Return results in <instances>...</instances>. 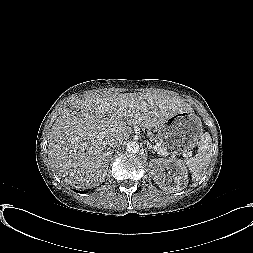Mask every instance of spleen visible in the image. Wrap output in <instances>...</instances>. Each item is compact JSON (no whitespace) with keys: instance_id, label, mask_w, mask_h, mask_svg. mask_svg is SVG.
<instances>
[{"instance_id":"3e777b00","label":"spleen","mask_w":253,"mask_h":253,"mask_svg":"<svg viewBox=\"0 0 253 253\" xmlns=\"http://www.w3.org/2000/svg\"><path fill=\"white\" fill-rule=\"evenodd\" d=\"M212 157V139L209 133H204L201 136L198 145V152L194 157L186 161L174 160L177 163L185 164L192 173V180L197 181L201 179L207 170Z\"/></svg>"}]
</instances>
